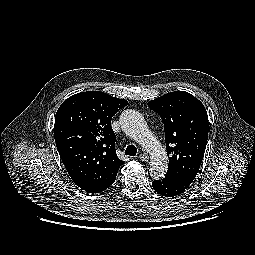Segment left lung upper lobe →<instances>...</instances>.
<instances>
[{
    "label": "left lung upper lobe",
    "instance_id": "5c2ea615",
    "mask_svg": "<svg viewBox=\"0 0 255 255\" xmlns=\"http://www.w3.org/2000/svg\"><path fill=\"white\" fill-rule=\"evenodd\" d=\"M148 105L164 123L169 158L165 177L190 185L201 166L208 138V116L204 105L183 91L167 93L149 101Z\"/></svg>",
    "mask_w": 255,
    "mask_h": 255
}]
</instances>
